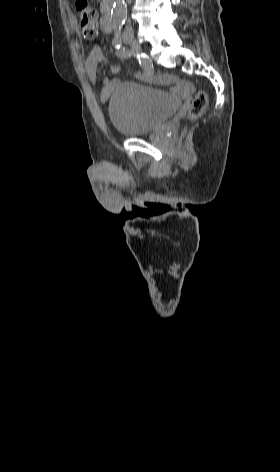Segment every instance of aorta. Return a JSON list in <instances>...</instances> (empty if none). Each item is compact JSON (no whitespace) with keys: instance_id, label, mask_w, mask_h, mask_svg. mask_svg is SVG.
<instances>
[{"instance_id":"obj_1","label":"aorta","mask_w":280,"mask_h":472,"mask_svg":"<svg viewBox=\"0 0 280 472\" xmlns=\"http://www.w3.org/2000/svg\"><path fill=\"white\" fill-rule=\"evenodd\" d=\"M127 16V6L124 0H117L111 10V21L114 28L122 25Z\"/></svg>"}]
</instances>
